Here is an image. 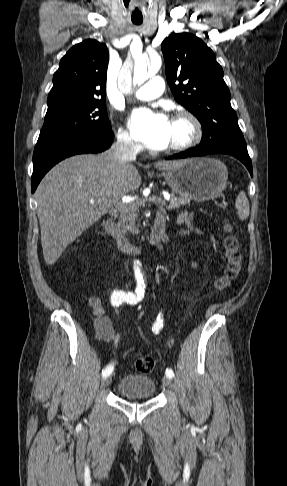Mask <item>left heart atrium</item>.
Instances as JSON below:
<instances>
[{
    "label": "left heart atrium",
    "mask_w": 287,
    "mask_h": 486,
    "mask_svg": "<svg viewBox=\"0 0 287 486\" xmlns=\"http://www.w3.org/2000/svg\"><path fill=\"white\" fill-rule=\"evenodd\" d=\"M128 126L133 137L150 149H164L169 144L171 121L163 113L137 108L129 117Z\"/></svg>",
    "instance_id": "39dd6f15"
}]
</instances>
